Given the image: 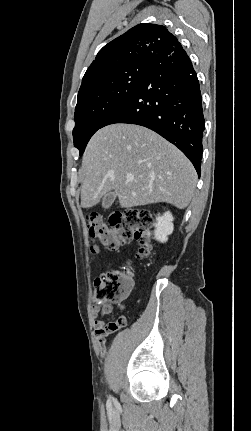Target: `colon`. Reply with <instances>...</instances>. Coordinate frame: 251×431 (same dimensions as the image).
<instances>
[{
    "mask_svg": "<svg viewBox=\"0 0 251 431\" xmlns=\"http://www.w3.org/2000/svg\"><path fill=\"white\" fill-rule=\"evenodd\" d=\"M87 235L93 253L99 251L98 244L109 250H116L133 239L140 243L139 257L148 255L152 249V214L145 209L130 208L109 217L106 222L95 212L86 215ZM134 268L124 264L121 270H111L101 274L94 281L93 301L111 312L113 305L122 302L133 285ZM126 324V318L120 316L111 322L108 328L117 330Z\"/></svg>",
    "mask_w": 251,
    "mask_h": 431,
    "instance_id": "obj_1",
    "label": "colon"
}]
</instances>
